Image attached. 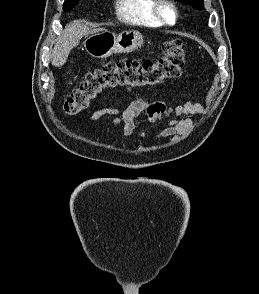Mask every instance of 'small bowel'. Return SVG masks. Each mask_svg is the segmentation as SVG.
Segmentation results:
<instances>
[{
	"mask_svg": "<svg viewBox=\"0 0 259 294\" xmlns=\"http://www.w3.org/2000/svg\"><path fill=\"white\" fill-rule=\"evenodd\" d=\"M204 107L200 103L186 102L177 106H168L162 99H155L149 102L141 93H136L133 101L128 108L121 111L117 108H103L91 114L87 119L94 122L104 116L112 117L110 124L121 125L122 133L129 135L135 131L134 119L145 114L151 122L161 121L171 116H192L203 115ZM193 128V121L190 118L182 120L172 119L167 126L155 134L157 138L175 137L177 135L187 134ZM141 136H144L140 132Z\"/></svg>",
	"mask_w": 259,
	"mask_h": 294,
	"instance_id": "1",
	"label": "small bowel"
}]
</instances>
